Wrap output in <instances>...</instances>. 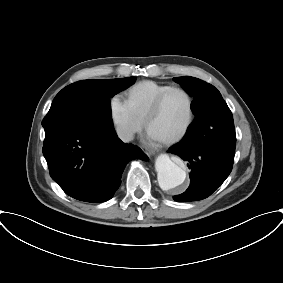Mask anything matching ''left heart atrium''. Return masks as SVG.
Returning a JSON list of instances; mask_svg holds the SVG:
<instances>
[{"mask_svg": "<svg viewBox=\"0 0 283 283\" xmlns=\"http://www.w3.org/2000/svg\"><path fill=\"white\" fill-rule=\"evenodd\" d=\"M148 137L151 139V140H155V141H159L160 139H158L157 137H155L154 135L150 134L148 132Z\"/></svg>", "mask_w": 283, "mask_h": 283, "instance_id": "left-heart-atrium-1", "label": "left heart atrium"}]
</instances>
